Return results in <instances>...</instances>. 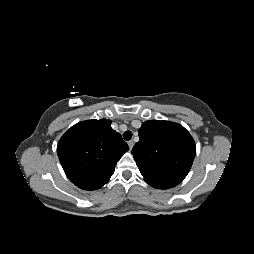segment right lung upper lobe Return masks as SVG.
<instances>
[{
    "label": "right lung upper lobe",
    "instance_id": "right-lung-upper-lobe-1",
    "mask_svg": "<svg viewBox=\"0 0 254 254\" xmlns=\"http://www.w3.org/2000/svg\"><path fill=\"white\" fill-rule=\"evenodd\" d=\"M106 119L87 120L72 126L60 139L57 154L71 182L96 190L113 175L116 162L129 150Z\"/></svg>",
    "mask_w": 254,
    "mask_h": 254
}]
</instances>
